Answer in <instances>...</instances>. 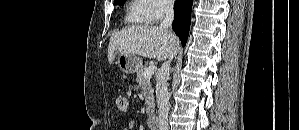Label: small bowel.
I'll return each mask as SVG.
<instances>
[{
	"mask_svg": "<svg viewBox=\"0 0 299 130\" xmlns=\"http://www.w3.org/2000/svg\"><path fill=\"white\" fill-rule=\"evenodd\" d=\"M135 128V121L133 120H130L128 123H127V126L123 129V130H132Z\"/></svg>",
	"mask_w": 299,
	"mask_h": 130,
	"instance_id": "small-bowel-1",
	"label": "small bowel"
}]
</instances>
